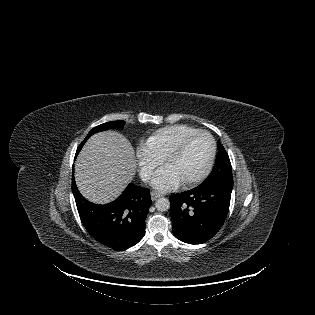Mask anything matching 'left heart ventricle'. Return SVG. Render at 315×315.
Wrapping results in <instances>:
<instances>
[{
    "instance_id": "left-heart-ventricle-1",
    "label": "left heart ventricle",
    "mask_w": 315,
    "mask_h": 315,
    "mask_svg": "<svg viewBox=\"0 0 315 315\" xmlns=\"http://www.w3.org/2000/svg\"><path fill=\"white\" fill-rule=\"evenodd\" d=\"M210 154V141L204 134L194 136L184 147L183 151L170 160L167 167L181 181L189 180L199 175L204 169Z\"/></svg>"
}]
</instances>
